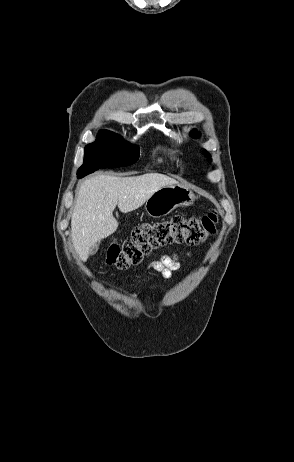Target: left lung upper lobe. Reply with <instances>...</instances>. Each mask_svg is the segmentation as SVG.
I'll return each mask as SVG.
<instances>
[{
	"mask_svg": "<svg viewBox=\"0 0 294 462\" xmlns=\"http://www.w3.org/2000/svg\"><path fill=\"white\" fill-rule=\"evenodd\" d=\"M197 135H198V133H197V131H195V130H193V131L190 133V136H192V137H196ZM206 154H207L208 156H210L207 152H206Z\"/></svg>",
	"mask_w": 294,
	"mask_h": 462,
	"instance_id": "left-lung-upper-lobe-1",
	"label": "left lung upper lobe"
}]
</instances>
